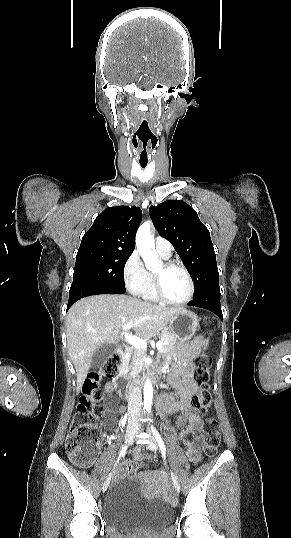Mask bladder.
I'll return each instance as SVG.
<instances>
[{"label": "bladder", "mask_w": 291, "mask_h": 538, "mask_svg": "<svg viewBox=\"0 0 291 538\" xmlns=\"http://www.w3.org/2000/svg\"><path fill=\"white\" fill-rule=\"evenodd\" d=\"M103 515L107 524L131 529L164 524L171 520L173 510L161 500L143 497L140 484L134 478L122 477L105 496Z\"/></svg>", "instance_id": "1"}]
</instances>
